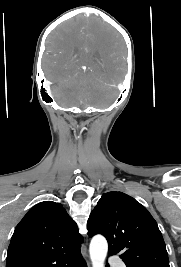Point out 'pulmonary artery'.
Masks as SVG:
<instances>
[{
	"label": "pulmonary artery",
	"mask_w": 181,
	"mask_h": 267,
	"mask_svg": "<svg viewBox=\"0 0 181 267\" xmlns=\"http://www.w3.org/2000/svg\"><path fill=\"white\" fill-rule=\"evenodd\" d=\"M111 262L115 263V267H125V265L119 260L111 259Z\"/></svg>",
	"instance_id": "1"
}]
</instances>
